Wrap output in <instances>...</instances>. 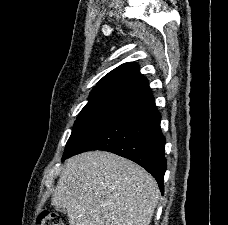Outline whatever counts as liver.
Listing matches in <instances>:
<instances>
[{
	"label": "liver",
	"instance_id": "liver-1",
	"mask_svg": "<svg viewBox=\"0 0 228 225\" xmlns=\"http://www.w3.org/2000/svg\"><path fill=\"white\" fill-rule=\"evenodd\" d=\"M158 185L142 167L106 151L68 159L52 205L65 209L70 225H150Z\"/></svg>",
	"mask_w": 228,
	"mask_h": 225
}]
</instances>
